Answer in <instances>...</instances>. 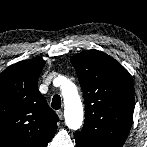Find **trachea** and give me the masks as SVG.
Masks as SVG:
<instances>
[{
    "mask_svg": "<svg viewBox=\"0 0 147 147\" xmlns=\"http://www.w3.org/2000/svg\"><path fill=\"white\" fill-rule=\"evenodd\" d=\"M51 107L56 110L61 108V98L59 95L53 96Z\"/></svg>",
    "mask_w": 147,
    "mask_h": 147,
    "instance_id": "trachea-1",
    "label": "trachea"
}]
</instances>
